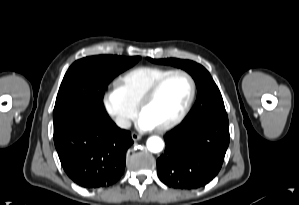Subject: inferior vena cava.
<instances>
[{
	"instance_id": "inferior-vena-cava-1",
	"label": "inferior vena cava",
	"mask_w": 299,
	"mask_h": 205,
	"mask_svg": "<svg viewBox=\"0 0 299 205\" xmlns=\"http://www.w3.org/2000/svg\"><path fill=\"white\" fill-rule=\"evenodd\" d=\"M115 123L120 127L124 129H128L131 127V122L129 119L124 118V117H117L115 119Z\"/></svg>"
}]
</instances>
